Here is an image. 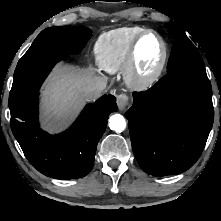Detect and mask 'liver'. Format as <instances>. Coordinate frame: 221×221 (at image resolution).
Instances as JSON below:
<instances>
[{"mask_svg": "<svg viewBox=\"0 0 221 221\" xmlns=\"http://www.w3.org/2000/svg\"><path fill=\"white\" fill-rule=\"evenodd\" d=\"M91 69L57 66L42 91V121L50 132L61 130L79 111L87 97L85 86L92 79Z\"/></svg>", "mask_w": 221, "mask_h": 221, "instance_id": "obj_1", "label": "liver"}]
</instances>
